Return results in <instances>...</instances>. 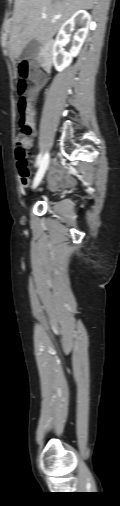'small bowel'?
Returning a JSON list of instances; mask_svg holds the SVG:
<instances>
[{"instance_id":"small-bowel-1","label":"small bowel","mask_w":120,"mask_h":506,"mask_svg":"<svg viewBox=\"0 0 120 506\" xmlns=\"http://www.w3.org/2000/svg\"><path fill=\"white\" fill-rule=\"evenodd\" d=\"M30 78L33 82V86L31 87L29 91V97L31 101L37 100L41 90L44 88V86L47 83V77L46 75L39 73L37 71H32L30 74ZM32 120H34V115L32 114ZM37 163L35 167H37ZM21 183L24 187H28L30 184V178L29 175L27 177H21ZM49 184L51 187H57V188H68L73 185V180L70 178V176L67 174V172L59 166L57 163H53L51 166V172L49 176Z\"/></svg>"}]
</instances>
